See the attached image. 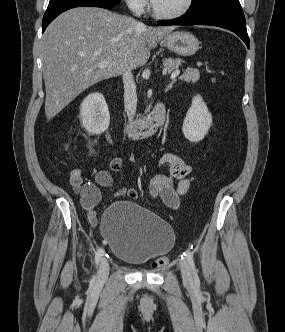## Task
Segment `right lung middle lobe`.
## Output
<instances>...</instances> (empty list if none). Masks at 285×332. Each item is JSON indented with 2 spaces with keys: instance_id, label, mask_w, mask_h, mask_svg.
Wrapping results in <instances>:
<instances>
[{
  "instance_id": "obj_1",
  "label": "right lung middle lobe",
  "mask_w": 285,
  "mask_h": 332,
  "mask_svg": "<svg viewBox=\"0 0 285 332\" xmlns=\"http://www.w3.org/2000/svg\"><path fill=\"white\" fill-rule=\"evenodd\" d=\"M50 1H52V0H50ZM102 1L107 2V3L118 4V3H120L121 0H102Z\"/></svg>"
}]
</instances>
